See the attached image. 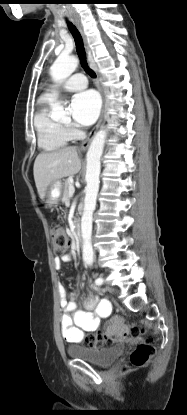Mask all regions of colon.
<instances>
[{"label":"colon","instance_id":"5ec220e1","mask_svg":"<svg viewBox=\"0 0 187 415\" xmlns=\"http://www.w3.org/2000/svg\"><path fill=\"white\" fill-rule=\"evenodd\" d=\"M51 237L53 240V252L59 256L65 253L69 247V238L60 225H54L51 228ZM146 335V331L138 326L127 327L124 323L116 321L107 330L98 333L95 336L87 338V343L95 348L109 346L121 339H131ZM155 346L151 338L146 337L130 355L132 365L144 366L154 354Z\"/></svg>","mask_w":187,"mask_h":415}]
</instances>
